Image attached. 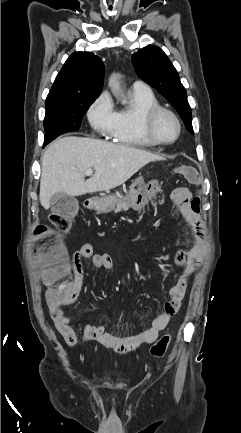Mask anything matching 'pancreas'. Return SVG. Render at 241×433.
I'll use <instances>...</instances> for the list:
<instances>
[{"mask_svg": "<svg viewBox=\"0 0 241 433\" xmlns=\"http://www.w3.org/2000/svg\"><path fill=\"white\" fill-rule=\"evenodd\" d=\"M131 207L130 203L121 199L116 202V204L113 207V211L115 213L121 212V211H127Z\"/></svg>", "mask_w": 241, "mask_h": 433, "instance_id": "cf45deb5", "label": "pancreas"}]
</instances>
